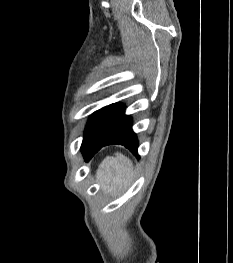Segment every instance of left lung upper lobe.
<instances>
[{
  "label": "left lung upper lobe",
  "instance_id": "left-lung-upper-lobe-1",
  "mask_svg": "<svg viewBox=\"0 0 233 263\" xmlns=\"http://www.w3.org/2000/svg\"><path fill=\"white\" fill-rule=\"evenodd\" d=\"M108 106L96 111L95 113H93V115L90 117V120L88 121V124L86 126V130L84 133V138H83V142H82V146L81 149L85 147V145L87 144V142L89 141V139L91 138L94 128L100 118V116L102 115V113L105 111V109Z\"/></svg>",
  "mask_w": 233,
  "mask_h": 263
}]
</instances>
